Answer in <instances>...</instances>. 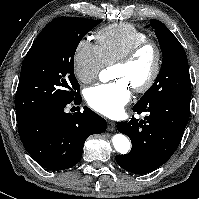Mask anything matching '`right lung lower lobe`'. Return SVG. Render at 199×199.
<instances>
[{"label": "right lung lower lobe", "instance_id": "obj_1", "mask_svg": "<svg viewBox=\"0 0 199 199\" xmlns=\"http://www.w3.org/2000/svg\"><path fill=\"white\" fill-rule=\"evenodd\" d=\"M72 102L80 103L81 96ZM66 105L41 110L18 123L26 151L50 170L75 166L81 159L85 140L92 134L102 133L107 126L106 120L88 107L70 114L64 112Z\"/></svg>", "mask_w": 199, "mask_h": 199}]
</instances>
